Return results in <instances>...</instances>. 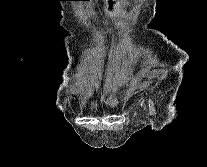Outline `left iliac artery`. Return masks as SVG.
Instances as JSON below:
<instances>
[{
  "label": "left iliac artery",
  "instance_id": "1",
  "mask_svg": "<svg viewBox=\"0 0 207 167\" xmlns=\"http://www.w3.org/2000/svg\"><path fill=\"white\" fill-rule=\"evenodd\" d=\"M148 106H149L150 114L156 116V109L154 106V102L151 99H149V101H148Z\"/></svg>",
  "mask_w": 207,
  "mask_h": 167
}]
</instances>
